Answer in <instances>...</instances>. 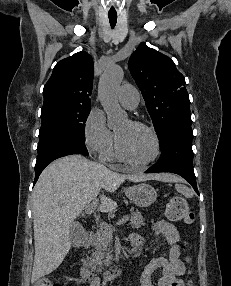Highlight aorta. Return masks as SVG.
<instances>
[{
	"label": "aorta",
	"instance_id": "obj_1",
	"mask_svg": "<svg viewBox=\"0 0 231 286\" xmlns=\"http://www.w3.org/2000/svg\"><path fill=\"white\" fill-rule=\"evenodd\" d=\"M123 74L121 67L113 65L104 71L99 81L98 96L107 114L109 128L120 126L128 118L127 113L121 109L116 96Z\"/></svg>",
	"mask_w": 231,
	"mask_h": 286
}]
</instances>
